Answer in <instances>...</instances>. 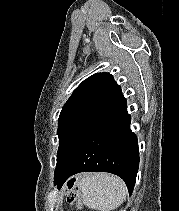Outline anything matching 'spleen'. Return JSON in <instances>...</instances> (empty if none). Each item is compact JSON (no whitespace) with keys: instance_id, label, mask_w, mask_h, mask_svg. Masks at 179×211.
I'll return each instance as SVG.
<instances>
[{"instance_id":"spleen-1","label":"spleen","mask_w":179,"mask_h":211,"mask_svg":"<svg viewBox=\"0 0 179 211\" xmlns=\"http://www.w3.org/2000/svg\"><path fill=\"white\" fill-rule=\"evenodd\" d=\"M84 204L91 209L111 211L126 199L127 187L124 181L107 173L85 174L80 179Z\"/></svg>"}]
</instances>
